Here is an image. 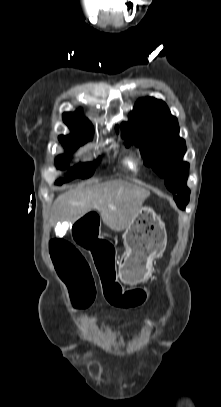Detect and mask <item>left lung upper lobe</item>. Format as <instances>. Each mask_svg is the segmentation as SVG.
Wrapping results in <instances>:
<instances>
[{"mask_svg":"<svg viewBox=\"0 0 221 407\" xmlns=\"http://www.w3.org/2000/svg\"><path fill=\"white\" fill-rule=\"evenodd\" d=\"M122 137L135 144L146 157L144 163L152 166L162 178L168 190L177 194L174 198H186L189 164L182 162L186 151L185 141L179 137L176 117L167 105L158 99H139L129 115V121L122 123Z\"/></svg>","mask_w":221,"mask_h":407,"instance_id":"obj_1","label":"left lung upper lobe"}]
</instances>
